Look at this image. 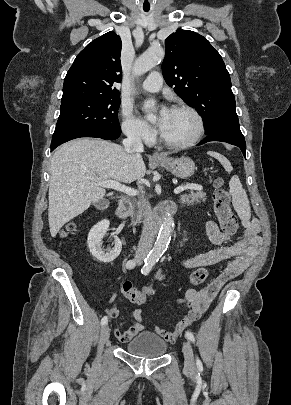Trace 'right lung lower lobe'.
<instances>
[{"instance_id":"obj_1","label":"right lung lower lobe","mask_w":291,"mask_h":405,"mask_svg":"<svg viewBox=\"0 0 291 405\" xmlns=\"http://www.w3.org/2000/svg\"><path fill=\"white\" fill-rule=\"evenodd\" d=\"M120 134L121 133H119V134H85V135H80V136H76V137H73V138L58 142V143H56L54 145H51V151H53L57 146L65 143V142H67L69 140L75 139V138L96 137V138H102V139H105V140H114V139H117L120 136Z\"/></svg>"}]
</instances>
